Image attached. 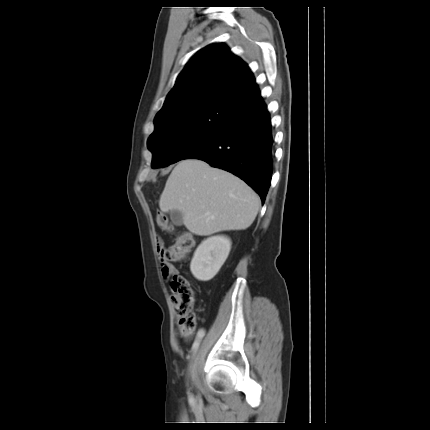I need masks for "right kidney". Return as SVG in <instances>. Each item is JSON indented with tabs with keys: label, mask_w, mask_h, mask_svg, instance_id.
Segmentation results:
<instances>
[{
	"label": "right kidney",
	"mask_w": 430,
	"mask_h": 430,
	"mask_svg": "<svg viewBox=\"0 0 430 430\" xmlns=\"http://www.w3.org/2000/svg\"><path fill=\"white\" fill-rule=\"evenodd\" d=\"M230 249L231 241L225 236L204 240L196 249L190 264L193 276L203 282L211 280L224 264Z\"/></svg>",
	"instance_id": "right-kidney-1"
}]
</instances>
